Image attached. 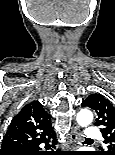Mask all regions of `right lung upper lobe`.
<instances>
[{"label":"right lung upper lobe","instance_id":"cb5924a9","mask_svg":"<svg viewBox=\"0 0 115 155\" xmlns=\"http://www.w3.org/2000/svg\"><path fill=\"white\" fill-rule=\"evenodd\" d=\"M54 136L49 114L41 103L32 101L25 105L11 121L3 137L0 155L30 144L45 142Z\"/></svg>","mask_w":115,"mask_h":155}]
</instances>
